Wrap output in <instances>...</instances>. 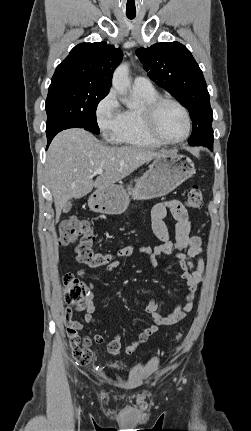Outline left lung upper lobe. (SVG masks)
Here are the masks:
<instances>
[{"mask_svg":"<svg viewBox=\"0 0 251 431\" xmlns=\"http://www.w3.org/2000/svg\"><path fill=\"white\" fill-rule=\"evenodd\" d=\"M136 55L148 76L184 105L192 120L189 144L213 150V112L203 73L191 52L179 42H161L139 48ZM194 127H198L197 131Z\"/></svg>","mask_w":251,"mask_h":431,"instance_id":"1","label":"left lung upper lobe"}]
</instances>
